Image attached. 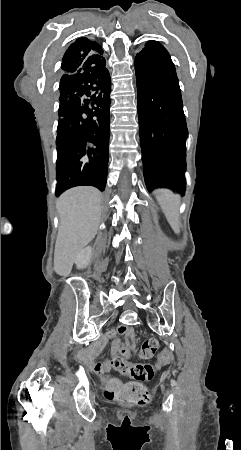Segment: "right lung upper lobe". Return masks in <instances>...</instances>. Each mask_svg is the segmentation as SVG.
<instances>
[{
  "label": "right lung upper lobe",
  "instance_id": "cb5924a9",
  "mask_svg": "<svg viewBox=\"0 0 241 450\" xmlns=\"http://www.w3.org/2000/svg\"><path fill=\"white\" fill-rule=\"evenodd\" d=\"M104 60L101 45L81 37L72 43L64 54L61 64L62 74L76 72L84 66H97Z\"/></svg>",
  "mask_w": 241,
  "mask_h": 450
}]
</instances>
